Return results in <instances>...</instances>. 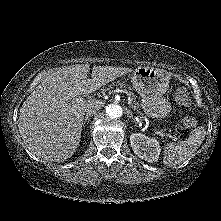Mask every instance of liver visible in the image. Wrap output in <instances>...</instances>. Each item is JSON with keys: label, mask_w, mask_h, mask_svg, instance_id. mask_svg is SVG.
Wrapping results in <instances>:
<instances>
[{"label": "liver", "mask_w": 221, "mask_h": 221, "mask_svg": "<svg viewBox=\"0 0 221 221\" xmlns=\"http://www.w3.org/2000/svg\"><path fill=\"white\" fill-rule=\"evenodd\" d=\"M130 68L94 66L87 78L89 64L60 68L50 74L27 97L20 108L18 127L26 147L38 158L65 161L79 146L85 109L95 99L79 101Z\"/></svg>", "instance_id": "obj_1"}]
</instances>
